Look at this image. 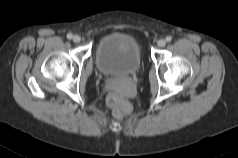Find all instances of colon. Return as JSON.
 I'll return each instance as SVG.
<instances>
[{"label": "colon", "instance_id": "colon-1", "mask_svg": "<svg viewBox=\"0 0 238 158\" xmlns=\"http://www.w3.org/2000/svg\"><path fill=\"white\" fill-rule=\"evenodd\" d=\"M108 103L112 108L114 116L117 118L123 117L130 110L129 103L116 92L109 94Z\"/></svg>", "mask_w": 238, "mask_h": 158}]
</instances>
